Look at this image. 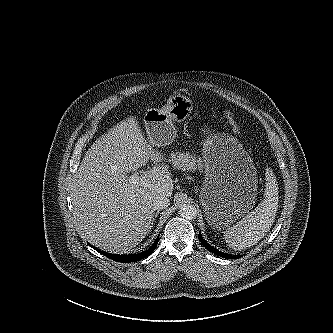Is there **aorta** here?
<instances>
[{"label": "aorta", "instance_id": "obj_1", "mask_svg": "<svg viewBox=\"0 0 333 333\" xmlns=\"http://www.w3.org/2000/svg\"><path fill=\"white\" fill-rule=\"evenodd\" d=\"M197 208L191 204H183L179 209V214L187 220H194L197 217Z\"/></svg>", "mask_w": 333, "mask_h": 333}]
</instances>
